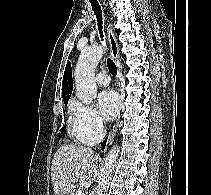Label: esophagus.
<instances>
[{
    "instance_id": "obj_1",
    "label": "esophagus",
    "mask_w": 211,
    "mask_h": 195,
    "mask_svg": "<svg viewBox=\"0 0 211 195\" xmlns=\"http://www.w3.org/2000/svg\"><path fill=\"white\" fill-rule=\"evenodd\" d=\"M107 35H108V41H109V45H110V56L115 61L116 65L118 67V71L120 73L121 65H120V61H119V47H118V42H117L116 35L114 32V28H113L112 18L109 19V22L107 25ZM123 97L124 96L122 93L121 99H123ZM119 122H120V118L117 120L116 124L114 125V127L109 135L108 142H111L113 140V138L115 137V134H116L118 126H119Z\"/></svg>"
}]
</instances>
